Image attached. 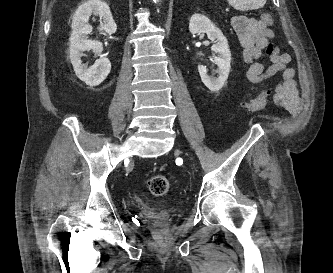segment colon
Returning a JSON list of instances; mask_svg holds the SVG:
<instances>
[{
  "label": "colon",
  "mask_w": 333,
  "mask_h": 273,
  "mask_svg": "<svg viewBox=\"0 0 333 273\" xmlns=\"http://www.w3.org/2000/svg\"><path fill=\"white\" fill-rule=\"evenodd\" d=\"M262 21L271 26L273 24V18L271 14L264 13L262 15ZM275 49L272 44L267 45L266 54L268 56L273 55ZM270 89L262 90L256 97L248 100L244 103V107L250 112H257L262 110L268 101V97L270 96ZM170 187L169 180L163 175H154L148 180V189L155 196H163L165 195Z\"/></svg>",
  "instance_id": "5ec220e1"
}]
</instances>
